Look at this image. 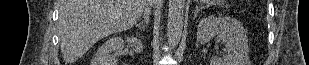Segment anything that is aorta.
<instances>
[{
  "label": "aorta",
  "mask_w": 309,
  "mask_h": 65,
  "mask_svg": "<svg viewBox=\"0 0 309 65\" xmlns=\"http://www.w3.org/2000/svg\"><path fill=\"white\" fill-rule=\"evenodd\" d=\"M185 0H169L167 39L171 47L180 42L184 21Z\"/></svg>",
  "instance_id": "1"
}]
</instances>
